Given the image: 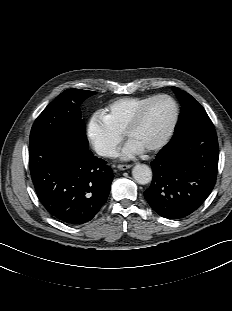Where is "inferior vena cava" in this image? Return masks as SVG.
<instances>
[{
	"label": "inferior vena cava",
	"mask_w": 232,
	"mask_h": 311,
	"mask_svg": "<svg viewBox=\"0 0 232 311\" xmlns=\"http://www.w3.org/2000/svg\"><path fill=\"white\" fill-rule=\"evenodd\" d=\"M97 153L100 156H110V157L116 156V151L114 149L107 148V147L98 148Z\"/></svg>",
	"instance_id": "602c4592"
}]
</instances>
